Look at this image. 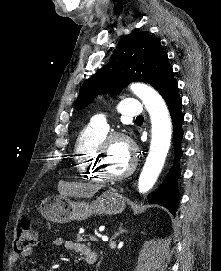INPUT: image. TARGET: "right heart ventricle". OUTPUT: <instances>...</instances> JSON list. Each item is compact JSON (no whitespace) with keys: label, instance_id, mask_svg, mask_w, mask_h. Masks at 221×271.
<instances>
[{"label":"right heart ventricle","instance_id":"obj_1","mask_svg":"<svg viewBox=\"0 0 221 271\" xmlns=\"http://www.w3.org/2000/svg\"><path fill=\"white\" fill-rule=\"evenodd\" d=\"M107 140L108 136L104 133L89 138H78L75 147L78 154L74 159V164H81L76 166L78 179H94V183H102V174L96 171L97 164H93V158H96L98 144H106Z\"/></svg>","mask_w":221,"mask_h":271}]
</instances>
